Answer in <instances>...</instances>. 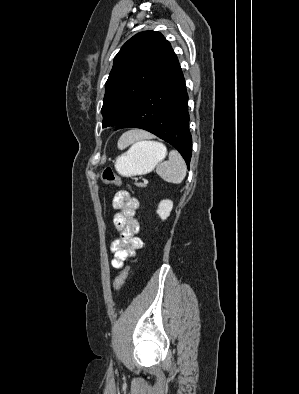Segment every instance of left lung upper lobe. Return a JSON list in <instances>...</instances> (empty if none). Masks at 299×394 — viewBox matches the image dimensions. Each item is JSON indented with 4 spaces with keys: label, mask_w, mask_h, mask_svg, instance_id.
I'll return each mask as SVG.
<instances>
[{
    "label": "left lung upper lobe",
    "mask_w": 299,
    "mask_h": 394,
    "mask_svg": "<svg viewBox=\"0 0 299 394\" xmlns=\"http://www.w3.org/2000/svg\"><path fill=\"white\" fill-rule=\"evenodd\" d=\"M176 60L160 32L143 31L130 38L115 56L105 84L102 127L124 120L150 84Z\"/></svg>",
    "instance_id": "1"
}]
</instances>
